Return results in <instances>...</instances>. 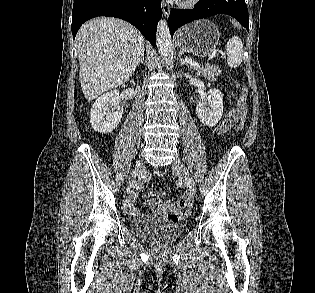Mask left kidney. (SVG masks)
<instances>
[{"instance_id":"left-kidney-1","label":"left kidney","mask_w":315,"mask_h":293,"mask_svg":"<svg viewBox=\"0 0 315 293\" xmlns=\"http://www.w3.org/2000/svg\"><path fill=\"white\" fill-rule=\"evenodd\" d=\"M196 114L205 126H215L223 114V94L218 89H211L206 101L197 104Z\"/></svg>"}]
</instances>
